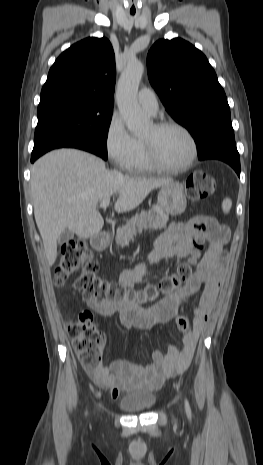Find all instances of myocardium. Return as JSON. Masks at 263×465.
Here are the masks:
<instances>
[{
    "instance_id": "f54148a6",
    "label": "myocardium",
    "mask_w": 263,
    "mask_h": 465,
    "mask_svg": "<svg viewBox=\"0 0 263 465\" xmlns=\"http://www.w3.org/2000/svg\"><path fill=\"white\" fill-rule=\"evenodd\" d=\"M153 127L156 131H161L167 128H176L182 131L188 137L191 143L192 151L189 159L184 164L177 166L167 165L159 158L153 142L141 139L147 160L152 165V167L154 169L170 173L183 172L190 169L198 157V143L193 133L183 124L173 120L158 121L153 124Z\"/></svg>"
}]
</instances>
